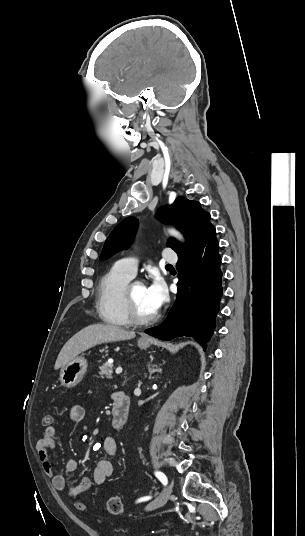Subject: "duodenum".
<instances>
[{
  "label": "duodenum",
  "instance_id": "duodenum-1",
  "mask_svg": "<svg viewBox=\"0 0 305 536\" xmlns=\"http://www.w3.org/2000/svg\"><path fill=\"white\" fill-rule=\"evenodd\" d=\"M130 412L129 398L123 392H117L114 395V408L112 424L115 428L124 425L128 419Z\"/></svg>",
  "mask_w": 305,
  "mask_h": 536
}]
</instances>
